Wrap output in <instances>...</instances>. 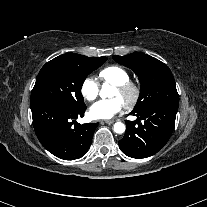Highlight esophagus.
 Returning a JSON list of instances; mask_svg holds the SVG:
<instances>
[{"label":"esophagus","mask_w":207,"mask_h":207,"mask_svg":"<svg viewBox=\"0 0 207 207\" xmlns=\"http://www.w3.org/2000/svg\"><path fill=\"white\" fill-rule=\"evenodd\" d=\"M115 121L114 120H103L101 123H106V124H113Z\"/></svg>","instance_id":"1"}]
</instances>
